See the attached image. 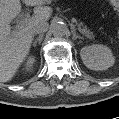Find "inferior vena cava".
Returning a JSON list of instances; mask_svg holds the SVG:
<instances>
[{"mask_svg":"<svg viewBox=\"0 0 119 119\" xmlns=\"http://www.w3.org/2000/svg\"><path fill=\"white\" fill-rule=\"evenodd\" d=\"M49 24L47 22H43L40 24H37L33 29H32V34H43L48 30Z\"/></svg>","mask_w":119,"mask_h":119,"instance_id":"inferior-vena-cava-1","label":"inferior vena cava"}]
</instances>
